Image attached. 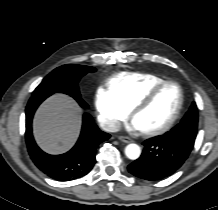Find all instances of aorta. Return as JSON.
<instances>
[{
  "label": "aorta",
  "mask_w": 218,
  "mask_h": 210,
  "mask_svg": "<svg viewBox=\"0 0 218 210\" xmlns=\"http://www.w3.org/2000/svg\"><path fill=\"white\" fill-rule=\"evenodd\" d=\"M141 149L137 144L131 143L125 147V155L131 159L136 160L140 157Z\"/></svg>",
  "instance_id": "aorta-1"
}]
</instances>
